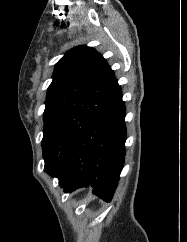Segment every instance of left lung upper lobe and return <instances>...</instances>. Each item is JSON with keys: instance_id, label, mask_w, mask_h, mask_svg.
Segmentation results:
<instances>
[{"instance_id": "left-lung-upper-lobe-1", "label": "left lung upper lobe", "mask_w": 187, "mask_h": 242, "mask_svg": "<svg viewBox=\"0 0 187 242\" xmlns=\"http://www.w3.org/2000/svg\"><path fill=\"white\" fill-rule=\"evenodd\" d=\"M48 87L42 139L45 171H55L79 138L122 99L121 87L106 59L78 46L58 61Z\"/></svg>"}]
</instances>
